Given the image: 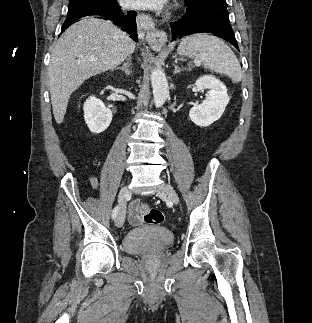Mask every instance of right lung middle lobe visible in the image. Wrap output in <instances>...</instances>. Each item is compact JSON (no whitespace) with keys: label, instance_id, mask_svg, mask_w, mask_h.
Wrapping results in <instances>:
<instances>
[{"label":"right lung middle lobe","instance_id":"1","mask_svg":"<svg viewBox=\"0 0 312 323\" xmlns=\"http://www.w3.org/2000/svg\"><path fill=\"white\" fill-rule=\"evenodd\" d=\"M116 4V0H69L68 14L81 9L110 6Z\"/></svg>","mask_w":312,"mask_h":323}]
</instances>
